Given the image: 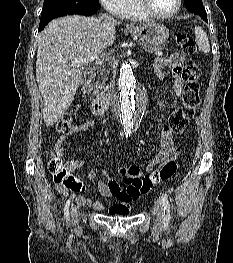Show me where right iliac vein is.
Here are the masks:
<instances>
[{
    "instance_id": "obj_1",
    "label": "right iliac vein",
    "mask_w": 233,
    "mask_h": 263,
    "mask_svg": "<svg viewBox=\"0 0 233 263\" xmlns=\"http://www.w3.org/2000/svg\"><path fill=\"white\" fill-rule=\"evenodd\" d=\"M71 215H72V220L75 223L78 222V208L77 207L72 208Z\"/></svg>"
}]
</instances>
